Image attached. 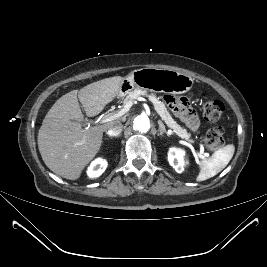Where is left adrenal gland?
<instances>
[{
	"mask_svg": "<svg viewBox=\"0 0 267 267\" xmlns=\"http://www.w3.org/2000/svg\"><path fill=\"white\" fill-rule=\"evenodd\" d=\"M158 124H159L160 135L163 136V134H167L169 136V134L167 133L165 125L163 124V122L161 120H159Z\"/></svg>",
	"mask_w": 267,
	"mask_h": 267,
	"instance_id": "a2214340",
	"label": "left adrenal gland"
}]
</instances>
